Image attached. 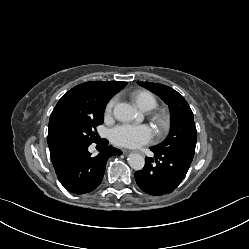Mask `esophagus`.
Instances as JSON below:
<instances>
[{"label": "esophagus", "instance_id": "34e87169", "mask_svg": "<svg viewBox=\"0 0 249 249\" xmlns=\"http://www.w3.org/2000/svg\"><path fill=\"white\" fill-rule=\"evenodd\" d=\"M123 152H124V153H129L130 151H129V150H124Z\"/></svg>", "mask_w": 249, "mask_h": 249}]
</instances>
